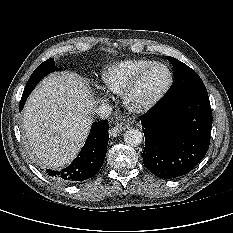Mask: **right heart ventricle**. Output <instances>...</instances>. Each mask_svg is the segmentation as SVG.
Wrapping results in <instances>:
<instances>
[{
  "label": "right heart ventricle",
  "instance_id": "right-heart-ventricle-1",
  "mask_svg": "<svg viewBox=\"0 0 233 233\" xmlns=\"http://www.w3.org/2000/svg\"><path fill=\"white\" fill-rule=\"evenodd\" d=\"M153 62L149 59H130L111 64L102 71V82L109 92L123 95L134 78Z\"/></svg>",
  "mask_w": 233,
  "mask_h": 233
}]
</instances>
